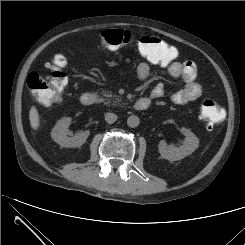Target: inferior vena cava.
Masks as SVG:
<instances>
[{
  "label": "inferior vena cava",
  "instance_id": "inferior-vena-cava-1",
  "mask_svg": "<svg viewBox=\"0 0 245 245\" xmlns=\"http://www.w3.org/2000/svg\"><path fill=\"white\" fill-rule=\"evenodd\" d=\"M105 120L107 123L112 124L117 120V115L114 113H106Z\"/></svg>",
  "mask_w": 245,
  "mask_h": 245
}]
</instances>
